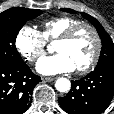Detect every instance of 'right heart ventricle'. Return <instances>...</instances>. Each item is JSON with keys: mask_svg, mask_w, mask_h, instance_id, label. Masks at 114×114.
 <instances>
[{"mask_svg": "<svg viewBox=\"0 0 114 114\" xmlns=\"http://www.w3.org/2000/svg\"><path fill=\"white\" fill-rule=\"evenodd\" d=\"M77 18L70 16H58L46 20L41 25V35L45 41H53L63 34L69 27L80 23Z\"/></svg>", "mask_w": 114, "mask_h": 114, "instance_id": "e07e8e85", "label": "right heart ventricle"}]
</instances>
